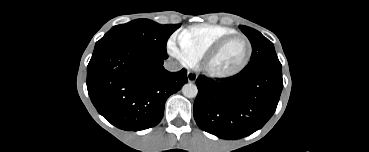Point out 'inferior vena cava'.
<instances>
[{
  "label": "inferior vena cava",
  "instance_id": "inferior-vena-cava-1",
  "mask_svg": "<svg viewBox=\"0 0 369 152\" xmlns=\"http://www.w3.org/2000/svg\"><path fill=\"white\" fill-rule=\"evenodd\" d=\"M164 67L170 72H177L182 69V65L172 58H168L165 60Z\"/></svg>",
  "mask_w": 369,
  "mask_h": 152
}]
</instances>
